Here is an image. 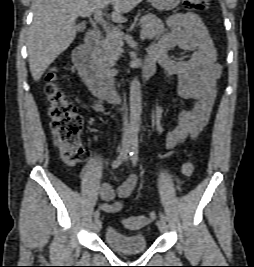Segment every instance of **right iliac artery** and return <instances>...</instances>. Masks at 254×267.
Masks as SVG:
<instances>
[{
    "label": "right iliac artery",
    "instance_id": "obj_1",
    "mask_svg": "<svg viewBox=\"0 0 254 267\" xmlns=\"http://www.w3.org/2000/svg\"><path fill=\"white\" fill-rule=\"evenodd\" d=\"M130 148V142L128 141L124 148L123 151L121 152V154L113 161L112 163V169H116L119 167V165L122 163L124 157L126 156L127 152L129 151ZM100 213L98 210H96L94 212V218L97 219L99 217Z\"/></svg>",
    "mask_w": 254,
    "mask_h": 267
}]
</instances>
